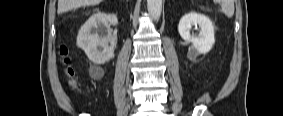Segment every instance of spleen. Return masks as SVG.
Returning <instances> with one entry per match:
<instances>
[{"label": "spleen", "mask_w": 283, "mask_h": 116, "mask_svg": "<svg viewBox=\"0 0 283 116\" xmlns=\"http://www.w3.org/2000/svg\"><path fill=\"white\" fill-rule=\"evenodd\" d=\"M221 12L224 13L228 18H231L234 15V1L222 0Z\"/></svg>", "instance_id": "spleen-1"}]
</instances>
